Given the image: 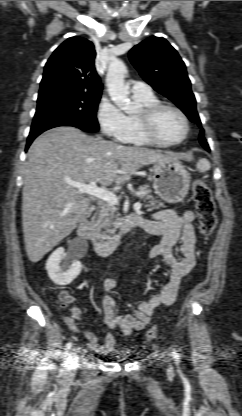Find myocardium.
Instances as JSON below:
<instances>
[{
    "mask_svg": "<svg viewBox=\"0 0 242 416\" xmlns=\"http://www.w3.org/2000/svg\"><path fill=\"white\" fill-rule=\"evenodd\" d=\"M164 110H172L179 115L184 124V133L183 135L174 141H167L162 139L155 129V122L158 115ZM138 121L140 124L141 131L146 139L151 143L159 146H173L181 144L188 136L190 125L189 120L186 114L178 107L168 104V103H156L151 106L143 107L140 113L138 114Z\"/></svg>",
    "mask_w": 242,
    "mask_h": 416,
    "instance_id": "obj_1",
    "label": "myocardium"
}]
</instances>
